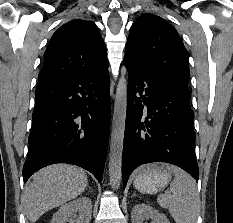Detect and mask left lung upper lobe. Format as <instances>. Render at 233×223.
I'll use <instances>...</instances> for the list:
<instances>
[{
    "instance_id": "obj_1",
    "label": "left lung upper lobe",
    "mask_w": 233,
    "mask_h": 223,
    "mask_svg": "<svg viewBox=\"0 0 233 223\" xmlns=\"http://www.w3.org/2000/svg\"><path fill=\"white\" fill-rule=\"evenodd\" d=\"M125 54L162 80L188 87L189 54L176 29L159 16L145 14L135 20Z\"/></svg>"
}]
</instances>
